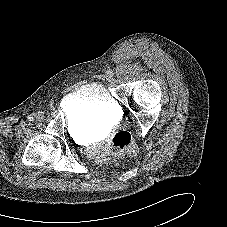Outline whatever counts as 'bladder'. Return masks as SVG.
<instances>
[{
	"label": "bladder",
	"instance_id": "obj_1",
	"mask_svg": "<svg viewBox=\"0 0 227 227\" xmlns=\"http://www.w3.org/2000/svg\"><path fill=\"white\" fill-rule=\"evenodd\" d=\"M63 108L79 128L111 126L121 113L117 100L98 82L85 84L67 94Z\"/></svg>",
	"mask_w": 227,
	"mask_h": 227
}]
</instances>
